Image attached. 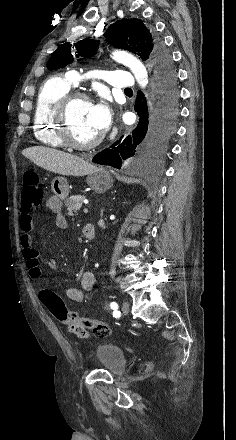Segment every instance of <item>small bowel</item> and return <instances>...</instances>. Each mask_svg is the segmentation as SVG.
Listing matches in <instances>:
<instances>
[{
    "label": "small bowel",
    "instance_id": "small-bowel-1",
    "mask_svg": "<svg viewBox=\"0 0 236 440\" xmlns=\"http://www.w3.org/2000/svg\"><path fill=\"white\" fill-rule=\"evenodd\" d=\"M62 200L58 196H52L47 200L46 207L53 213L55 217V223L58 227L64 228L67 225L66 219L62 213ZM20 226L22 229V235L20 237V245L22 248V254L26 260V265L31 277L37 279L42 275V269L39 262V254L32 247L31 231L33 229V219L31 214H24L21 218ZM50 267L54 266L50 263ZM95 284V277L92 272L85 271L81 276V288L68 287L66 289V296L76 302H82L85 294L90 291ZM42 291V290H41ZM40 291V292H41ZM41 303L46 307L45 303L40 297ZM71 333H76L77 338L82 339L85 336L86 326L84 324H71Z\"/></svg>",
    "mask_w": 236,
    "mask_h": 440
}]
</instances>
